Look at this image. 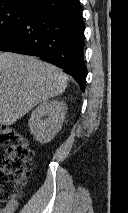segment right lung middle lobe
<instances>
[{
  "mask_svg": "<svg viewBox=\"0 0 128 213\" xmlns=\"http://www.w3.org/2000/svg\"><path fill=\"white\" fill-rule=\"evenodd\" d=\"M30 10V7L15 5L0 7V41L23 23Z\"/></svg>",
  "mask_w": 128,
  "mask_h": 213,
  "instance_id": "dd1d6c3e",
  "label": "right lung middle lobe"
}]
</instances>
